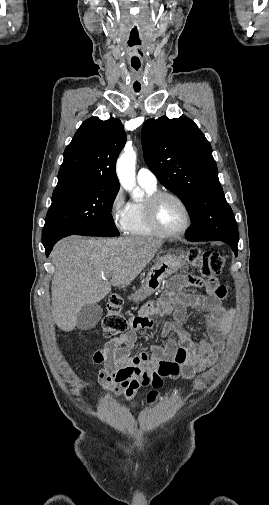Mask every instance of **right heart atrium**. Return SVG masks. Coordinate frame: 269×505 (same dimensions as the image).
<instances>
[{"label": "right heart atrium", "mask_w": 269, "mask_h": 505, "mask_svg": "<svg viewBox=\"0 0 269 505\" xmlns=\"http://www.w3.org/2000/svg\"><path fill=\"white\" fill-rule=\"evenodd\" d=\"M128 207L122 189H117L109 202V215L115 228L125 231L128 221Z\"/></svg>", "instance_id": "d8ad5b80"}]
</instances>
